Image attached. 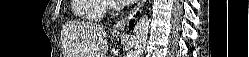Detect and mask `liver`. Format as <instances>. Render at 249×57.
I'll return each instance as SVG.
<instances>
[{
	"instance_id": "1",
	"label": "liver",
	"mask_w": 249,
	"mask_h": 57,
	"mask_svg": "<svg viewBox=\"0 0 249 57\" xmlns=\"http://www.w3.org/2000/svg\"><path fill=\"white\" fill-rule=\"evenodd\" d=\"M63 42L67 57H106L107 33L96 23H67L63 30Z\"/></svg>"
}]
</instances>
